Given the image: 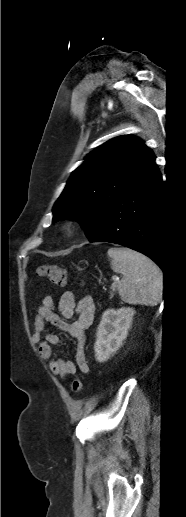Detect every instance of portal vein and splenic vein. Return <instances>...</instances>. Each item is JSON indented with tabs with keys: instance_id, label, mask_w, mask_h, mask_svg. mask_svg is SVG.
<instances>
[{
	"instance_id": "portal-vein-and-splenic-vein-1",
	"label": "portal vein and splenic vein",
	"mask_w": 186,
	"mask_h": 517,
	"mask_svg": "<svg viewBox=\"0 0 186 517\" xmlns=\"http://www.w3.org/2000/svg\"><path fill=\"white\" fill-rule=\"evenodd\" d=\"M113 281L114 282L119 281V277H113Z\"/></svg>"
}]
</instances>
